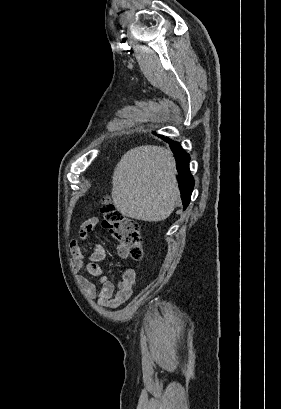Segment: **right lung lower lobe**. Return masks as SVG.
I'll return each instance as SVG.
<instances>
[{"label": "right lung lower lobe", "instance_id": "right-lung-lower-lobe-1", "mask_svg": "<svg viewBox=\"0 0 281 409\" xmlns=\"http://www.w3.org/2000/svg\"><path fill=\"white\" fill-rule=\"evenodd\" d=\"M170 145L173 153L177 156L176 165L178 171V177L181 182L179 186L181 191V199L184 209L190 202L191 193L194 186V179L189 170V155L181 148V146L174 141L164 138Z\"/></svg>", "mask_w": 281, "mask_h": 409}]
</instances>
